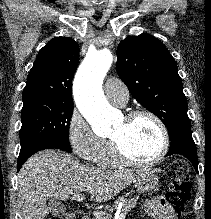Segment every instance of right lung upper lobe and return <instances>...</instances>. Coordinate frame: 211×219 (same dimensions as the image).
Listing matches in <instances>:
<instances>
[{
	"instance_id": "cb5924a9",
	"label": "right lung upper lobe",
	"mask_w": 211,
	"mask_h": 219,
	"mask_svg": "<svg viewBox=\"0 0 211 219\" xmlns=\"http://www.w3.org/2000/svg\"><path fill=\"white\" fill-rule=\"evenodd\" d=\"M79 62V46L69 37H55L38 53L23 90V102L50 99L73 103L72 79Z\"/></svg>"
}]
</instances>
